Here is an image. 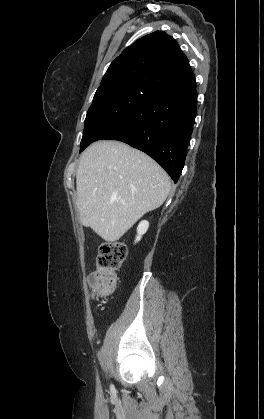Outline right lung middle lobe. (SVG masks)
Here are the masks:
<instances>
[{
	"label": "right lung middle lobe",
	"instance_id": "dd1d6c3e",
	"mask_svg": "<svg viewBox=\"0 0 264 419\" xmlns=\"http://www.w3.org/2000/svg\"><path fill=\"white\" fill-rule=\"evenodd\" d=\"M152 96L154 95L150 91L128 84L98 89L87 112L80 152L122 124L143 101Z\"/></svg>",
	"mask_w": 264,
	"mask_h": 419
}]
</instances>
